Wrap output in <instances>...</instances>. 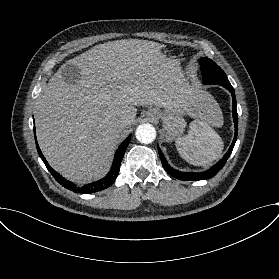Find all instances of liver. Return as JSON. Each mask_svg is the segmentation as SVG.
<instances>
[{"instance_id": "obj_1", "label": "liver", "mask_w": 279, "mask_h": 279, "mask_svg": "<svg viewBox=\"0 0 279 279\" xmlns=\"http://www.w3.org/2000/svg\"><path fill=\"white\" fill-rule=\"evenodd\" d=\"M163 47L148 40L109 41L67 62L80 69L75 85L62 79V68L53 75L38 98L35 125L54 170L80 184L103 178L116 145L135 122V106H181L201 117V91L184 78L178 61L161 52ZM124 119L130 125L117 132Z\"/></svg>"}]
</instances>
